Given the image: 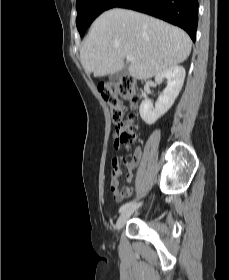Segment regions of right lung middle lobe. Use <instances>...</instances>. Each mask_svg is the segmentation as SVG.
Segmentation results:
<instances>
[{"mask_svg":"<svg viewBox=\"0 0 229 280\" xmlns=\"http://www.w3.org/2000/svg\"><path fill=\"white\" fill-rule=\"evenodd\" d=\"M115 0H76L78 12L76 25L81 37L93 20L103 11L109 9Z\"/></svg>","mask_w":229,"mask_h":280,"instance_id":"obj_1","label":"right lung middle lobe"}]
</instances>
